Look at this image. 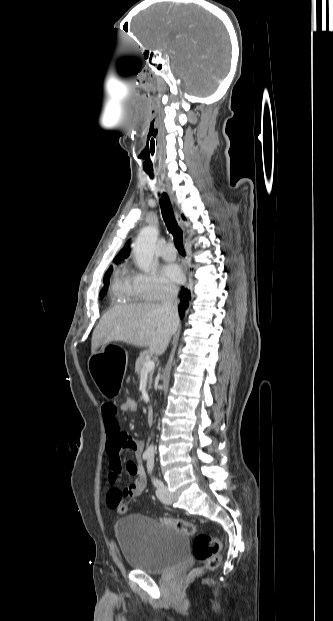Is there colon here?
I'll use <instances>...</instances> for the list:
<instances>
[{
  "label": "colon",
  "instance_id": "5ec220e1",
  "mask_svg": "<svg viewBox=\"0 0 333 621\" xmlns=\"http://www.w3.org/2000/svg\"><path fill=\"white\" fill-rule=\"evenodd\" d=\"M120 407L124 412L135 413L138 409V403L134 394L121 396ZM115 509L119 513H125L127 507L124 503H119ZM162 522L188 536H195L193 541V553L195 558L202 563V566L196 568L192 572V575L198 576L206 571H212L218 568L221 562L220 552L222 550L220 539L206 533L196 534L195 525L182 519L165 517L162 518Z\"/></svg>",
  "mask_w": 333,
  "mask_h": 621
}]
</instances>
